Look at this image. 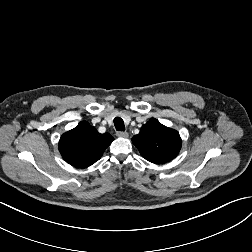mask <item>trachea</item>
Instances as JSON below:
<instances>
[{"label":"trachea","instance_id":"obj_1","mask_svg":"<svg viewBox=\"0 0 252 252\" xmlns=\"http://www.w3.org/2000/svg\"><path fill=\"white\" fill-rule=\"evenodd\" d=\"M114 125L117 131H124L125 130V125L124 121L120 117L114 118Z\"/></svg>","mask_w":252,"mask_h":252}]
</instances>
